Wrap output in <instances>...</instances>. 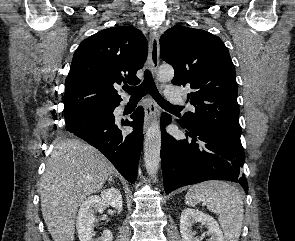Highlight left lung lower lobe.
<instances>
[{
	"instance_id": "0a47b994",
	"label": "left lung lower lobe",
	"mask_w": 295,
	"mask_h": 241,
	"mask_svg": "<svg viewBox=\"0 0 295 241\" xmlns=\"http://www.w3.org/2000/svg\"><path fill=\"white\" fill-rule=\"evenodd\" d=\"M171 116H161V162L165 193L207 180L239 182L246 193L248 184L241 173L245 154L240 137L204 126L187 127L186 139L176 140L166 133Z\"/></svg>"
}]
</instances>
